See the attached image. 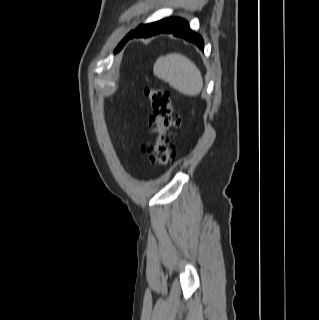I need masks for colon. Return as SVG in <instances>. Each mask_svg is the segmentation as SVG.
<instances>
[{"label": "colon", "instance_id": "colon-1", "mask_svg": "<svg viewBox=\"0 0 319 320\" xmlns=\"http://www.w3.org/2000/svg\"><path fill=\"white\" fill-rule=\"evenodd\" d=\"M145 95L152 108L150 126L153 139L144 146V153L152 164L166 166L173 156L174 130L179 127V119L169 91L152 85L145 89Z\"/></svg>", "mask_w": 319, "mask_h": 320}]
</instances>
